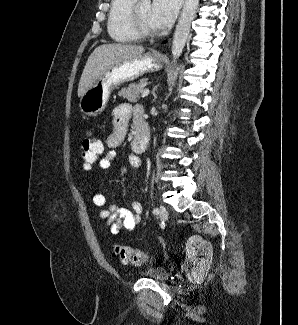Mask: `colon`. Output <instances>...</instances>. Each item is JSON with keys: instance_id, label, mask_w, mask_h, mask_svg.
Returning a JSON list of instances; mask_svg holds the SVG:
<instances>
[{"instance_id": "5ec220e1", "label": "colon", "mask_w": 298, "mask_h": 325, "mask_svg": "<svg viewBox=\"0 0 298 325\" xmlns=\"http://www.w3.org/2000/svg\"><path fill=\"white\" fill-rule=\"evenodd\" d=\"M103 151V143L92 131H87L81 144L80 158L85 169L96 163ZM122 262L139 266L145 263L146 256L142 251L129 246L118 245L115 249ZM187 268L194 281L203 279L208 271L212 250L210 244L199 236L191 237L186 244Z\"/></svg>"}]
</instances>
